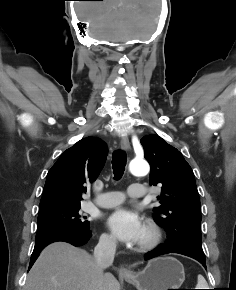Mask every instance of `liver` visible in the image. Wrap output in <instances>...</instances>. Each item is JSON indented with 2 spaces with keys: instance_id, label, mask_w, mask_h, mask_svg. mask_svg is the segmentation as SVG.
<instances>
[{
  "instance_id": "1",
  "label": "liver",
  "mask_w": 236,
  "mask_h": 290,
  "mask_svg": "<svg viewBox=\"0 0 236 290\" xmlns=\"http://www.w3.org/2000/svg\"><path fill=\"white\" fill-rule=\"evenodd\" d=\"M23 290H120V284L87 251L55 242L40 253Z\"/></svg>"
}]
</instances>
